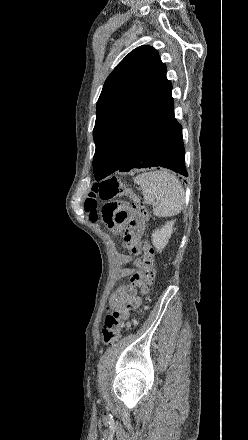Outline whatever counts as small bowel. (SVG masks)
Returning <instances> with one entry per match:
<instances>
[{
    "instance_id": "small-bowel-1",
    "label": "small bowel",
    "mask_w": 248,
    "mask_h": 440,
    "mask_svg": "<svg viewBox=\"0 0 248 440\" xmlns=\"http://www.w3.org/2000/svg\"><path fill=\"white\" fill-rule=\"evenodd\" d=\"M124 208L128 209L126 204L123 205ZM115 230H119L117 227H112ZM145 230L144 223L141 222H133L129 224V227L123 231L124 240L126 246L129 250L137 257L140 254V246L139 241L142 237ZM132 260V257L129 255H119L117 257V261L120 265L127 264ZM122 275H130L132 278H137L136 284L139 285L142 283V268H141V260L139 258L135 259V266L130 269H122ZM138 300L133 293V286L125 287L121 286L117 289V291L113 294L110 300V305L113 310H116L122 314H126L127 310L137 305Z\"/></svg>"
}]
</instances>
